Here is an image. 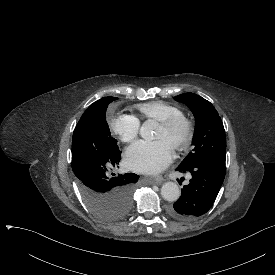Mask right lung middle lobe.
Instances as JSON below:
<instances>
[{
    "label": "right lung middle lobe",
    "instance_id": "dd1d6c3e",
    "mask_svg": "<svg viewBox=\"0 0 275 275\" xmlns=\"http://www.w3.org/2000/svg\"><path fill=\"white\" fill-rule=\"evenodd\" d=\"M117 97H103L91 104L73 133L72 169L83 199L106 220L128 214L139 176L121 162L117 140L106 122V109Z\"/></svg>",
    "mask_w": 275,
    "mask_h": 275
}]
</instances>
